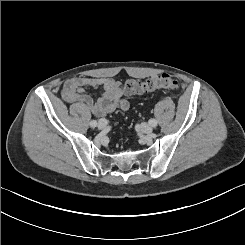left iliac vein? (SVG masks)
I'll return each mask as SVG.
<instances>
[{
    "mask_svg": "<svg viewBox=\"0 0 245 245\" xmlns=\"http://www.w3.org/2000/svg\"><path fill=\"white\" fill-rule=\"evenodd\" d=\"M141 130L144 132V133H147V134H150L152 131H153V128L151 125L147 124V123H143L141 125Z\"/></svg>",
    "mask_w": 245,
    "mask_h": 245,
    "instance_id": "1",
    "label": "left iliac vein"
}]
</instances>
